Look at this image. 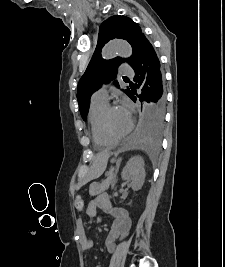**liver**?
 <instances>
[{
    "label": "liver",
    "instance_id": "1",
    "mask_svg": "<svg viewBox=\"0 0 225 267\" xmlns=\"http://www.w3.org/2000/svg\"><path fill=\"white\" fill-rule=\"evenodd\" d=\"M104 155H106V154H100V155H98V156L96 157V159H95V162H96V163L99 162V161L103 158ZM104 170H105V169H104ZM104 170H103V171H104ZM103 171L100 172V173H96V172H95V167H93V169H92V171H91V173H90V177H91V178H94V177H96V176H100V175L103 173Z\"/></svg>",
    "mask_w": 225,
    "mask_h": 267
}]
</instances>
